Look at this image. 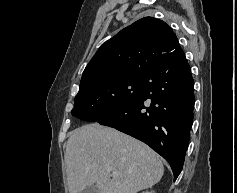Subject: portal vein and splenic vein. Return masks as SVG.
I'll list each match as a JSON object with an SVG mask.
<instances>
[{
    "instance_id": "18ae733b",
    "label": "portal vein and splenic vein",
    "mask_w": 237,
    "mask_h": 193,
    "mask_svg": "<svg viewBox=\"0 0 237 193\" xmlns=\"http://www.w3.org/2000/svg\"><path fill=\"white\" fill-rule=\"evenodd\" d=\"M108 170L112 171L111 168H108ZM112 175H113V176H117V173H116L115 171H112Z\"/></svg>"
}]
</instances>
